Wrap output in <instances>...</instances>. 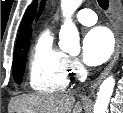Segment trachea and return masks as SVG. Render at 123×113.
Instances as JSON below:
<instances>
[{
  "label": "trachea",
  "instance_id": "trachea-1",
  "mask_svg": "<svg viewBox=\"0 0 123 113\" xmlns=\"http://www.w3.org/2000/svg\"><path fill=\"white\" fill-rule=\"evenodd\" d=\"M97 1H98L99 6L102 9L106 10L108 8V6H109V1L108 0H97Z\"/></svg>",
  "mask_w": 123,
  "mask_h": 113
}]
</instances>
